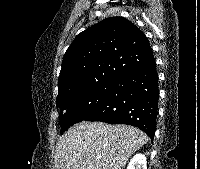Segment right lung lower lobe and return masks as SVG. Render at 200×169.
<instances>
[{
  "instance_id": "obj_1",
  "label": "right lung lower lobe",
  "mask_w": 200,
  "mask_h": 169,
  "mask_svg": "<svg viewBox=\"0 0 200 169\" xmlns=\"http://www.w3.org/2000/svg\"><path fill=\"white\" fill-rule=\"evenodd\" d=\"M156 63L118 78L104 102L85 121L128 124L153 139L158 110Z\"/></svg>"
}]
</instances>
